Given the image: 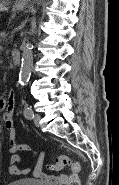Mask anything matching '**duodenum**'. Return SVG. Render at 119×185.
I'll use <instances>...</instances> for the list:
<instances>
[{"label":"duodenum","instance_id":"duodenum-1","mask_svg":"<svg viewBox=\"0 0 119 185\" xmlns=\"http://www.w3.org/2000/svg\"><path fill=\"white\" fill-rule=\"evenodd\" d=\"M12 59H13V63L16 66H19L21 64V53L18 50H14L12 52Z\"/></svg>","mask_w":119,"mask_h":185}]
</instances>
